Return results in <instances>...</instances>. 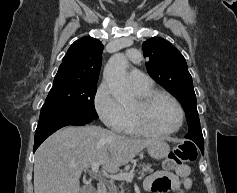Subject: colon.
<instances>
[{
	"label": "colon",
	"mask_w": 237,
	"mask_h": 193,
	"mask_svg": "<svg viewBox=\"0 0 237 193\" xmlns=\"http://www.w3.org/2000/svg\"><path fill=\"white\" fill-rule=\"evenodd\" d=\"M197 158L196 146L191 142H184L174 147L163 162L166 171L176 170L180 166L192 162Z\"/></svg>",
	"instance_id": "1"
}]
</instances>
